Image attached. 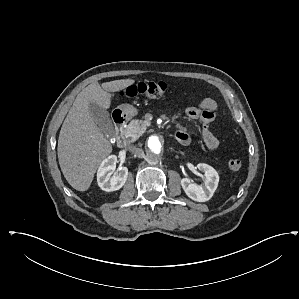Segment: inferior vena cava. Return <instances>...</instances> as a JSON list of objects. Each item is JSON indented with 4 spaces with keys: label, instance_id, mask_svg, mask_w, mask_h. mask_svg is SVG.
<instances>
[{
    "label": "inferior vena cava",
    "instance_id": "1",
    "mask_svg": "<svg viewBox=\"0 0 299 299\" xmlns=\"http://www.w3.org/2000/svg\"><path fill=\"white\" fill-rule=\"evenodd\" d=\"M129 151L132 152L137 157H142L144 155V151L141 148H138L136 146H130Z\"/></svg>",
    "mask_w": 299,
    "mask_h": 299
}]
</instances>
